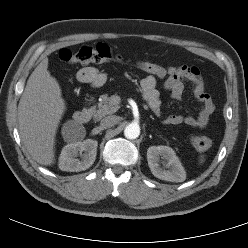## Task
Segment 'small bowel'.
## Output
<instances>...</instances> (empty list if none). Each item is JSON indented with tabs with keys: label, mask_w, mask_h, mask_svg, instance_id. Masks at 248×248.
<instances>
[{
	"label": "small bowel",
	"mask_w": 248,
	"mask_h": 248,
	"mask_svg": "<svg viewBox=\"0 0 248 248\" xmlns=\"http://www.w3.org/2000/svg\"><path fill=\"white\" fill-rule=\"evenodd\" d=\"M167 77L164 82L165 89L175 100H181L185 83L192 85L193 95L200 103V111L196 117L183 115H169L163 119L165 125L185 124L192 128L203 129L207 126L215 106L210 95L205 91L204 81L199 70L193 66L167 67ZM77 79L91 87H101L106 82V75L95 67H84L77 72ZM141 88L148 106L157 116L161 115V98L156 89V78L147 75L141 80Z\"/></svg>",
	"instance_id": "obj_1"
}]
</instances>
